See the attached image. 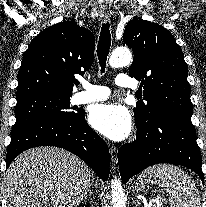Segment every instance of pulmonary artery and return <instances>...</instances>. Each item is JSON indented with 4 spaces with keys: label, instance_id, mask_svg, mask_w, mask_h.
<instances>
[{
    "label": "pulmonary artery",
    "instance_id": "pulmonary-artery-1",
    "mask_svg": "<svg viewBox=\"0 0 206 207\" xmlns=\"http://www.w3.org/2000/svg\"><path fill=\"white\" fill-rule=\"evenodd\" d=\"M115 83L123 87H133L130 78L125 74H118ZM82 91L75 93L72 101L75 104H84L107 99L110 96V89L106 86L94 85L88 82L82 83Z\"/></svg>",
    "mask_w": 206,
    "mask_h": 207
}]
</instances>
